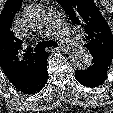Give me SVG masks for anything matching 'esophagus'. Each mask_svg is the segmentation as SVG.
<instances>
[{"mask_svg": "<svg viewBox=\"0 0 113 113\" xmlns=\"http://www.w3.org/2000/svg\"><path fill=\"white\" fill-rule=\"evenodd\" d=\"M55 49L58 50V51H68V48L67 47H63V46L57 47Z\"/></svg>", "mask_w": 113, "mask_h": 113, "instance_id": "esophagus-1", "label": "esophagus"}]
</instances>
